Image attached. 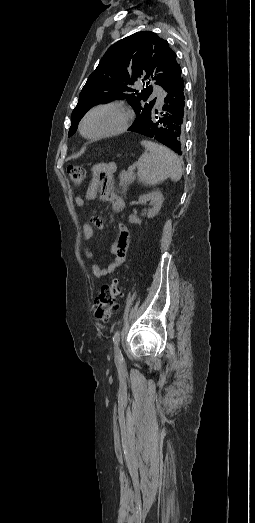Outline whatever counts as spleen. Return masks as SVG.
<instances>
[{
  "mask_svg": "<svg viewBox=\"0 0 255 523\" xmlns=\"http://www.w3.org/2000/svg\"><path fill=\"white\" fill-rule=\"evenodd\" d=\"M141 144L145 148V154L140 156L137 168L138 178L143 184L155 186L166 178H171L174 182L180 180L183 174L181 162L172 150L148 140H143Z\"/></svg>",
  "mask_w": 255,
  "mask_h": 523,
  "instance_id": "spleen-1",
  "label": "spleen"
}]
</instances>
